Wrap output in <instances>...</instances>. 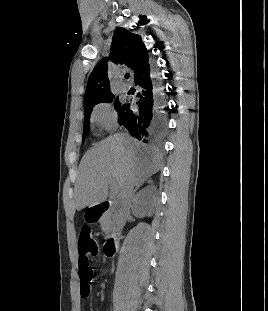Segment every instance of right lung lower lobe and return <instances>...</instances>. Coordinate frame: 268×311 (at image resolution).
<instances>
[{
    "label": "right lung lower lobe",
    "mask_w": 268,
    "mask_h": 311,
    "mask_svg": "<svg viewBox=\"0 0 268 311\" xmlns=\"http://www.w3.org/2000/svg\"><path fill=\"white\" fill-rule=\"evenodd\" d=\"M134 83L139 89L136 107L123 104L118 111V122L145 144L159 142L167 132V107L160 84L153 76V66L148 64L134 77Z\"/></svg>",
    "instance_id": "obj_1"
}]
</instances>
